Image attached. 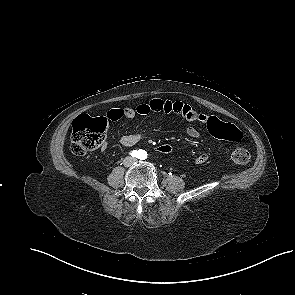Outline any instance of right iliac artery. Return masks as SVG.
Segmentation results:
<instances>
[{"instance_id": "obj_1", "label": "right iliac artery", "mask_w": 295, "mask_h": 295, "mask_svg": "<svg viewBox=\"0 0 295 295\" xmlns=\"http://www.w3.org/2000/svg\"><path fill=\"white\" fill-rule=\"evenodd\" d=\"M130 155H131L132 157L139 158L140 155H141V150H133V151L130 152Z\"/></svg>"}]
</instances>
